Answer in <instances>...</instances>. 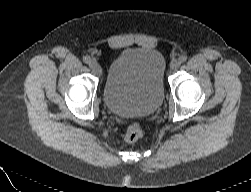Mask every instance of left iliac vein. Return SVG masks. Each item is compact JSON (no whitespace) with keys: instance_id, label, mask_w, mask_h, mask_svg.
<instances>
[{"instance_id":"4c4485c4","label":"left iliac vein","mask_w":251,"mask_h":192,"mask_svg":"<svg viewBox=\"0 0 251 192\" xmlns=\"http://www.w3.org/2000/svg\"><path fill=\"white\" fill-rule=\"evenodd\" d=\"M179 66H180V61H179V60H174V61L171 63V69H172V70L178 69Z\"/></svg>"}]
</instances>
